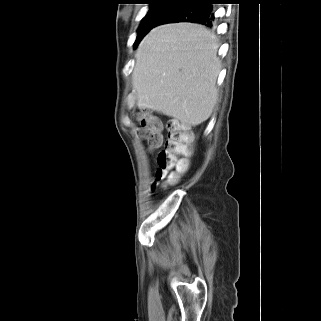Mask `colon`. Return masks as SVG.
<instances>
[{
    "mask_svg": "<svg viewBox=\"0 0 321 321\" xmlns=\"http://www.w3.org/2000/svg\"><path fill=\"white\" fill-rule=\"evenodd\" d=\"M140 123V136L150 149H155L162 142V123L152 115L140 113L137 116ZM192 135L184 125L172 121L168 124V138L164 149L157 157L158 168L153 187L166 186L178 181L179 176L188 170L186 159L191 154Z\"/></svg>",
    "mask_w": 321,
    "mask_h": 321,
    "instance_id": "5ec220e1",
    "label": "colon"
}]
</instances>
